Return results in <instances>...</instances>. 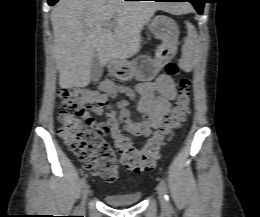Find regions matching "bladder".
<instances>
[{"mask_svg":"<svg viewBox=\"0 0 260 217\" xmlns=\"http://www.w3.org/2000/svg\"><path fill=\"white\" fill-rule=\"evenodd\" d=\"M141 197L142 194L138 192L121 195H105L104 200L111 206L124 207L138 203Z\"/></svg>","mask_w":260,"mask_h":217,"instance_id":"31cf9c89","label":"bladder"}]
</instances>
